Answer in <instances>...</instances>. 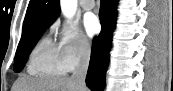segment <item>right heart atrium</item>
Instances as JSON below:
<instances>
[{"mask_svg":"<svg viewBox=\"0 0 173 91\" xmlns=\"http://www.w3.org/2000/svg\"><path fill=\"white\" fill-rule=\"evenodd\" d=\"M57 50L67 72L75 70L84 63L91 52L89 39L70 24L54 25Z\"/></svg>","mask_w":173,"mask_h":91,"instance_id":"right-heart-atrium-1","label":"right heart atrium"}]
</instances>
